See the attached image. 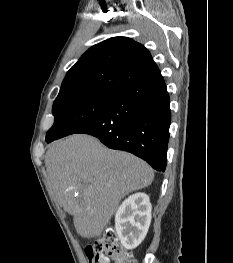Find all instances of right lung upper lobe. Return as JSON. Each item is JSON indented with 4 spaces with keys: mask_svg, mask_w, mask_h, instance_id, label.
Returning <instances> with one entry per match:
<instances>
[{
    "mask_svg": "<svg viewBox=\"0 0 233 263\" xmlns=\"http://www.w3.org/2000/svg\"><path fill=\"white\" fill-rule=\"evenodd\" d=\"M159 74L143 45L127 37H114L82 55L67 72L58 96L83 91L119 93Z\"/></svg>",
    "mask_w": 233,
    "mask_h": 263,
    "instance_id": "obj_1",
    "label": "right lung upper lobe"
}]
</instances>
